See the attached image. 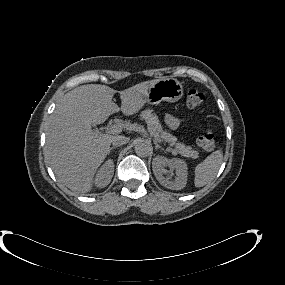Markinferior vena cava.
I'll use <instances>...</instances> for the list:
<instances>
[{
	"label": "inferior vena cava",
	"mask_w": 285,
	"mask_h": 285,
	"mask_svg": "<svg viewBox=\"0 0 285 285\" xmlns=\"http://www.w3.org/2000/svg\"><path fill=\"white\" fill-rule=\"evenodd\" d=\"M128 141H129V138L120 135V136L114 137V139L112 140V144L114 146H121V145L128 143Z\"/></svg>",
	"instance_id": "inferior-vena-cava-1"
}]
</instances>
